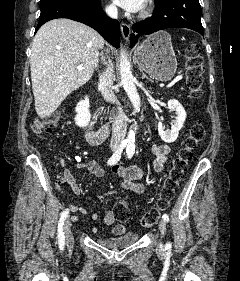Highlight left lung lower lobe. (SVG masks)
<instances>
[{"label": "left lung lower lobe", "mask_w": 240, "mask_h": 281, "mask_svg": "<svg viewBox=\"0 0 240 281\" xmlns=\"http://www.w3.org/2000/svg\"><path fill=\"white\" fill-rule=\"evenodd\" d=\"M189 28L202 36L199 0H158L154 14L147 20L133 25L130 44L133 47L140 36L166 28Z\"/></svg>", "instance_id": "obj_1"}]
</instances>
